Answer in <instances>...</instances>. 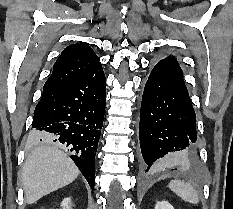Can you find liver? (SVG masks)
<instances>
[{
	"label": "liver",
	"instance_id": "1",
	"mask_svg": "<svg viewBox=\"0 0 233 209\" xmlns=\"http://www.w3.org/2000/svg\"><path fill=\"white\" fill-rule=\"evenodd\" d=\"M37 139L43 133L34 131ZM79 175L73 161L58 147L38 145L27 156L23 167L22 184L27 204L72 183Z\"/></svg>",
	"mask_w": 233,
	"mask_h": 209
}]
</instances>
